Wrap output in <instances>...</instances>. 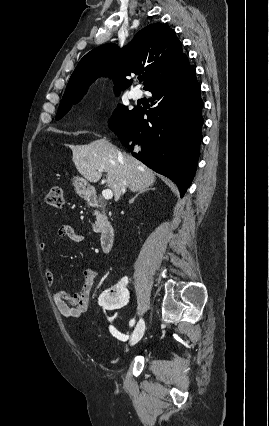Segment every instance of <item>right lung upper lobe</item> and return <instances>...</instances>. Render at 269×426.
Here are the masks:
<instances>
[{"label":"right lung upper lobe","mask_w":269,"mask_h":426,"mask_svg":"<svg viewBox=\"0 0 269 426\" xmlns=\"http://www.w3.org/2000/svg\"><path fill=\"white\" fill-rule=\"evenodd\" d=\"M190 66L182 53L175 32L161 23H153L139 31L122 50L113 43L101 45L87 53L78 63L68 82L63 98L83 96L88 86L100 76L112 77L115 92L128 88L131 73L147 76L144 89L173 77Z\"/></svg>","instance_id":"right-lung-upper-lobe-1"}]
</instances>
